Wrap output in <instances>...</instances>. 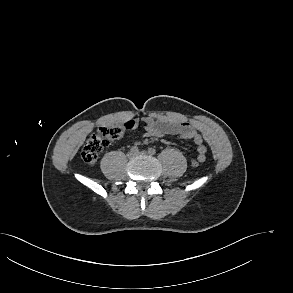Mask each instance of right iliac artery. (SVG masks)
<instances>
[{"mask_svg":"<svg viewBox=\"0 0 293 293\" xmlns=\"http://www.w3.org/2000/svg\"><path fill=\"white\" fill-rule=\"evenodd\" d=\"M131 151L137 153V152L139 151V149H138L137 146H133V147L131 148Z\"/></svg>","mask_w":293,"mask_h":293,"instance_id":"82829eb1","label":"right iliac artery"}]
</instances>
